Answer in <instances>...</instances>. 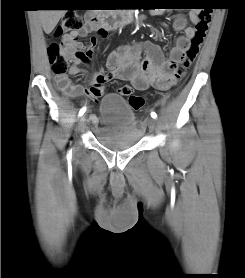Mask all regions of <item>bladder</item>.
<instances>
[{
	"mask_svg": "<svg viewBox=\"0 0 245 278\" xmlns=\"http://www.w3.org/2000/svg\"><path fill=\"white\" fill-rule=\"evenodd\" d=\"M142 134L129 102L122 95L106 94L100 103L98 141L111 150H123L136 146Z\"/></svg>",
	"mask_w": 245,
	"mask_h": 278,
	"instance_id": "obj_1",
	"label": "bladder"
}]
</instances>
